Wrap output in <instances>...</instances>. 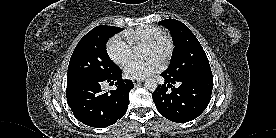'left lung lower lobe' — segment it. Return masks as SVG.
<instances>
[{
  "instance_id": "1",
  "label": "left lung lower lobe",
  "mask_w": 276,
  "mask_h": 138,
  "mask_svg": "<svg viewBox=\"0 0 276 138\" xmlns=\"http://www.w3.org/2000/svg\"><path fill=\"white\" fill-rule=\"evenodd\" d=\"M165 84L153 92L157 110L170 121L184 123L197 118L208 106L213 88V77L175 80L163 72ZM178 83L176 88L172 86ZM171 88V90H168Z\"/></svg>"
}]
</instances>
